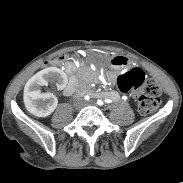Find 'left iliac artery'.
Instances as JSON below:
<instances>
[{"instance_id": "left-iliac-artery-1", "label": "left iliac artery", "mask_w": 183, "mask_h": 183, "mask_svg": "<svg viewBox=\"0 0 183 183\" xmlns=\"http://www.w3.org/2000/svg\"><path fill=\"white\" fill-rule=\"evenodd\" d=\"M97 104L100 105V106H102L104 103H103L102 100H98V101H97Z\"/></svg>"}]
</instances>
